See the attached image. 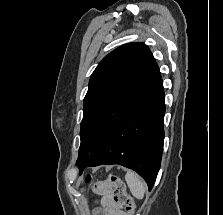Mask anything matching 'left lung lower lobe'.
Segmentation results:
<instances>
[{
  "label": "left lung lower lobe",
  "instance_id": "0a47b994",
  "mask_svg": "<svg viewBox=\"0 0 223 215\" xmlns=\"http://www.w3.org/2000/svg\"><path fill=\"white\" fill-rule=\"evenodd\" d=\"M165 114L164 89L160 73L144 94L112 128L84 166L119 164L136 171L152 189L161 163Z\"/></svg>",
  "mask_w": 223,
  "mask_h": 215
}]
</instances>
